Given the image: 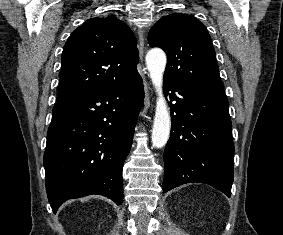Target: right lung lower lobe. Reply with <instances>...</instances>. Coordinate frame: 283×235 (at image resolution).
I'll list each match as a JSON object with an SVG mask.
<instances>
[{"instance_id": "obj_1", "label": "right lung lower lobe", "mask_w": 283, "mask_h": 235, "mask_svg": "<svg viewBox=\"0 0 283 235\" xmlns=\"http://www.w3.org/2000/svg\"><path fill=\"white\" fill-rule=\"evenodd\" d=\"M144 98L139 73L55 104L44 154L54 213L68 199L99 194L122 204L123 163Z\"/></svg>"}]
</instances>
